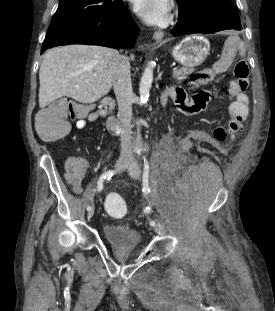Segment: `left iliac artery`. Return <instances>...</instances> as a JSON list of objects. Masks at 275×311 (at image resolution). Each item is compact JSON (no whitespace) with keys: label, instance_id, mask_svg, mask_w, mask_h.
Listing matches in <instances>:
<instances>
[{"label":"left iliac artery","instance_id":"1","mask_svg":"<svg viewBox=\"0 0 275 311\" xmlns=\"http://www.w3.org/2000/svg\"><path fill=\"white\" fill-rule=\"evenodd\" d=\"M143 191L145 193H149L150 189H149V163L147 161V159H144V171H143ZM147 212L151 211L150 207L146 208ZM150 225H155V221H150Z\"/></svg>","mask_w":275,"mask_h":311}]
</instances>
